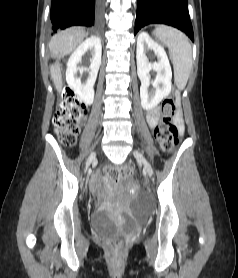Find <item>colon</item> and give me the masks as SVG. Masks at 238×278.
<instances>
[{
    "mask_svg": "<svg viewBox=\"0 0 238 278\" xmlns=\"http://www.w3.org/2000/svg\"><path fill=\"white\" fill-rule=\"evenodd\" d=\"M160 110L161 121L155 128V138L161 148L169 152L179 143L178 117L174 93L163 100ZM87 113V106L79 100L75 93L70 89L65 90L53 118L55 132L63 146L71 147L76 143ZM132 171V166L126 164L121 167H107L105 174L111 183H117L122 178L130 176ZM121 245L122 239L120 237L110 241V246L114 250H118Z\"/></svg>",
    "mask_w": 238,
    "mask_h": 278,
    "instance_id": "obj_1",
    "label": "colon"
}]
</instances>
